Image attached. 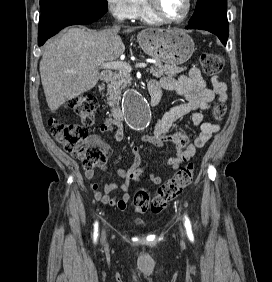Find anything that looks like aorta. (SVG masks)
Returning <instances> with one entry per match:
<instances>
[{
  "instance_id": "obj_1",
  "label": "aorta",
  "mask_w": 272,
  "mask_h": 282,
  "mask_svg": "<svg viewBox=\"0 0 272 282\" xmlns=\"http://www.w3.org/2000/svg\"><path fill=\"white\" fill-rule=\"evenodd\" d=\"M126 120L133 128L144 130L150 123L151 110L141 93L135 89L127 92L124 100Z\"/></svg>"
}]
</instances>
